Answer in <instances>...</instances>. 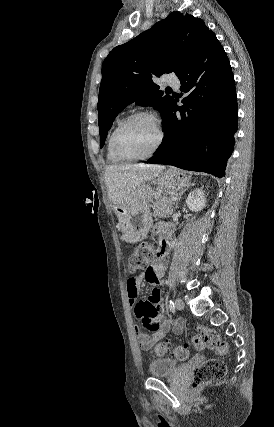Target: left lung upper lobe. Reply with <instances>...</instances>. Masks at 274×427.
Returning a JSON list of instances; mask_svg holds the SVG:
<instances>
[{
  "label": "left lung upper lobe",
  "mask_w": 274,
  "mask_h": 427,
  "mask_svg": "<svg viewBox=\"0 0 274 427\" xmlns=\"http://www.w3.org/2000/svg\"><path fill=\"white\" fill-rule=\"evenodd\" d=\"M212 37L215 34L203 20L172 12L149 30L115 47L102 65L97 105L100 147L115 117L132 102L153 106L163 118L173 98L159 90L153 77L171 72L180 76Z\"/></svg>",
  "instance_id": "5c2ea615"
}]
</instances>
